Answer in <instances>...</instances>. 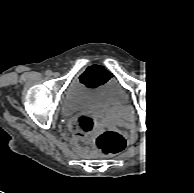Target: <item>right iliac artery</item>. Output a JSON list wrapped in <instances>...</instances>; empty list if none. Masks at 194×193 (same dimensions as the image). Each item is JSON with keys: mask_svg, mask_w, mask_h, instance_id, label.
Masks as SVG:
<instances>
[{"mask_svg": "<svg viewBox=\"0 0 194 193\" xmlns=\"http://www.w3.org/2000/svg\"><path fill=\"white\" fill-rule=\"evenodd\" d=\"M46 75L51 76L52 75V71L51 70H47L46 71Z\"/></svg>", "mask_w": 194, "mask_h": 193, "instance_id": "1", "label": "right iliac artery"}]
</instances>
